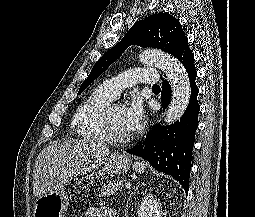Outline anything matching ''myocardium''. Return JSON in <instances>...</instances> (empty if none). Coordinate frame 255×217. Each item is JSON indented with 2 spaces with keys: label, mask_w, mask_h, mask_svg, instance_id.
I'll use <instances>...</instances> for the list:
<instances>
[{
  "label": "myocardium",
  "mask_w": 255,
  "mask_h": 217,
  "mask_svg": "<svg viewBox=\"0 0 255 217\" xmlns=\"http://www.w3.org/2000/svg\"><path fill=\"white\" fill-rule=\"evenodd\" d=\"M116 104L109 103L105 106V108L102 110L101 115H100V125H101V130L104 135L105 140L113 143H126L130 141L131 136H119L116 135L111 126V111L113 107Z\"/></svg>",
  "instance_id": "1"
}]
</instances>
